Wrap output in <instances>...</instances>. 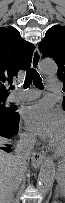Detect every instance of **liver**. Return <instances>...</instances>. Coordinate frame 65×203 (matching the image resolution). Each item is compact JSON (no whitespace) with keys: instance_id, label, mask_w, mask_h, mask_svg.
Here are the masks:
<instances>
[{"instance_id":"liver-1","label":"liver","mask_w":65,"mask_h":203,"mask_svg":"<svg viewBox=\"0 0 65 203\" xmlns=\"http://www.w3.org/2000/svg\"><path fill=\"white\" fill-rule=\"evenodd\" d=\"M1 144L8 142L7 139L1 138ZM17 160L15 155L0 152V199L2 197L7 198L11 191L12 183L16 178Z\"/></svg>"}]
</instances>
